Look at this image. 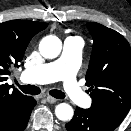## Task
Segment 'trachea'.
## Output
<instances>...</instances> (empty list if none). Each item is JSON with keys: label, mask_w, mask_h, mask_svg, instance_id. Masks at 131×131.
I'll use <instances>...</instances> for the list:
<instances>
[{"label": "trachea", "mask_w": 131, "mask_h": 131, "mask_svg": "<svg viewBox=\"0 0 131 131\" xmlns=\"http://www.w3.org/2000/svg\"><path fill=\"white\" fill-rule=\"evenodd\" d=\"M16 84L19 89L26 94L37 95L41 92L40 88L35 85H19L17 82ZM49 94L57 99H64L66 97L62 91L56 89L50 90Z\"/></svg>", "instance_id": "trachea-1"}]
</instances>
